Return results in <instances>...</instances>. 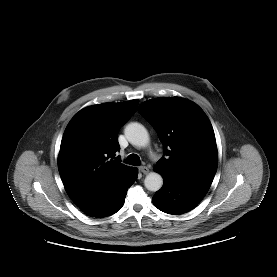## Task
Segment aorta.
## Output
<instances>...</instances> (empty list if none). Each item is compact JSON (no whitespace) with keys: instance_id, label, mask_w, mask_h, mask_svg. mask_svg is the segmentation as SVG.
I'll return each instance as SVG.
<instances>
[{"instance_id":"1","label":"aorta","mask_w":277,"mask_h":277,"mask_svg":"<svg viewBox=\"0 0 277 277\" xmlns=\"http://www.w3.org/2000/svg\"><path fill=\"white\" fill-rule=\"evenodd\" d=\"M124 134L127 140L134 146L145 147L149 143V134L140 123H129L124 129ZM144 185L149 191L156 192L161 189L163 178L157 172H150L144 180Z\"/></svg>"}]
</instances>
